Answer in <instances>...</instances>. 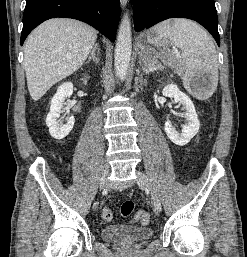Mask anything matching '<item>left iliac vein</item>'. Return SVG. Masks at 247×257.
Listing matches in <instances>:
<instances>
[{"instance_id":"4c4485c4","label":"left iliac vein","mask_w":247,"mask_h":257,"mask_svg":"<svg viewBox=\"0 0 247 257\" xmlns=\"http://www.w3.org/2000/svg\"><path fill=\"white\" fill-rule=\"evenodd\" d=\"M136 174H137V179H136L137 184L140 187L145 188L150 191L153 208L157 213L160 212L161 208H162L160 199L157 196V194L155 193V191L153 190V187H152L148 177L140 170H136Z\"/></svg>"}]
</instances>
